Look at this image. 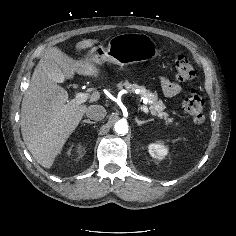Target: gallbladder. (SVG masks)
Returning <instances> with one entry per match:
<instances>
[{"label": "gallbladder", "mask_w": 236, "mask_h": 236, "mask_svg": "<svg viewBox=\"0 0 236 236\" xmlns=\"http://www.w3.org/2000/svg\"><path fill=\"white\" fill-rule=\"evenodd\" d=\"M47 73L49 77L55 82H61L64 79L63 71L55 62L50 63Z\"/></svg>", "instance_id": "1"}]
</instances>
